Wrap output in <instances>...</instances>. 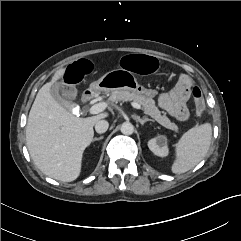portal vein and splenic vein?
I'll return each instance as SVG.
<instances>
[{
  "label": "portal vein and splenic vein",
  "mask_w": 241,
  "mask_h": 241,
  "mask_svg": "<svg viewBox=\"0 0 241 241\" xmlns=\"http://www.w3.org/2000/svg\"><path fill=\"white\" fill-rule=\"evenodd\" d=\"M132 106L136 109H142L141 105L138 103H135V102L132 103ZM106 107H107L106 102L97 103L90 107L89 113L90 114H98V113L104 111L106 109Z\"/></svg>",
  "instance_id": "1"
}]
</instances>
